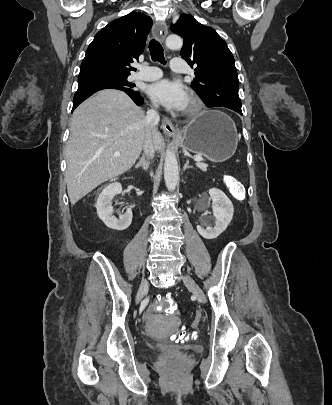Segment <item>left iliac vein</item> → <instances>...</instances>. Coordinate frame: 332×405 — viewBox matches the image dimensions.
I'll return each mask as SVG.
<instances>
[{"instance_id":"1","label":"left iliac vein","mask_w":332,"mask_h":405,"mask_svg":"<svg viewBox=\"0 0 332 405\" xmlns=\"http://www.w3.org/2000/svg\"><path fill=\"white\" fill-rule=\"evenodd\" d=\"M183 282L186 285V287L193 293V295L196 297L198 301L202 303L207 302L204 292L190 275L188 274L184 275Z\"/></svg>"}]
</instances>
